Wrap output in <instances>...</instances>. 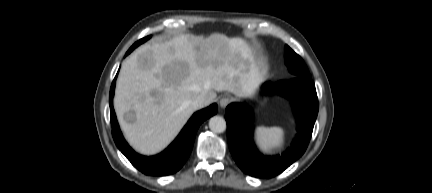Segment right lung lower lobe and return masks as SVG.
<instances>
[{"mask_svg": "<svg viewBox=\"0 0 432 193\" xmlns=\"http://www.w3.org/2000/svg\"><path fill=\"white\" fill-rule=\"evenodd\" d=\"M129 53L130 52H127L126 55ZM115 82L116 77L111 85L109 105L112 135L119 150L127 157L133 166L144 174L163 176L177 172L184 165L191 153L195 135L200 124L217 113V105L212 104L208 108L196 112L190 118L174 142L162 153L152 157L142 156L129 147L120 131L113 108Z\"/></svg>", "mask_w": 432, "mask_h": 193, "instance_id": "1", "label": "right lung lower lobe"}]
</instances>
